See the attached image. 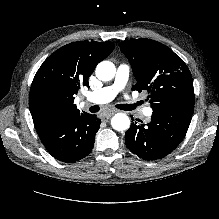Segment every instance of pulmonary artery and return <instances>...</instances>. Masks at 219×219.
I'll use <instances>...</instances> for the list:
<instances>
[{
    "label": "pulmonary artery",
    "instance_id": "e3ab8cb5",
    "mask_svg": "<svg viewBox=\"0 0 219 219\" xmlns=\"http://www.w3.org/2000/svg\"><path fill=\"white\" fill-rule=\"evenodd\" d=\"M130 74V66L128 64H121L116 70L115 81L113 85L106 86L89 93L87 100L91 103L103 104L111 101L118 91L124 88L128 81ZM152 113V109L146 107L142 110L145 120Z\"/></svg>",
    "mask_w": 219,
    "mask_h": 219
}]
</instances>
